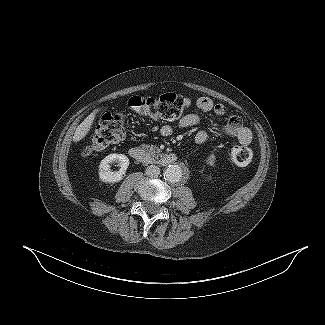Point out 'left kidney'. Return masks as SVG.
Listing matches in <instances>:
<instances>
[{
  "label": "left kidney",
  "mask_w": 325,
  "mask_h": 325,
  "mask_svg": "<svg viewBox=\"0 0 325 325\" xmlns=\"http://www.w3.org/2000/svg\"><path fill=\"white\" fill-rule=\"evenodd\" d=\"M215 163V155L214 154H210L209 155V158L207 160V164L210 165V166H213Z\"/></svg>",
  "instance_id": "5707ae66"
}]
</instances>
